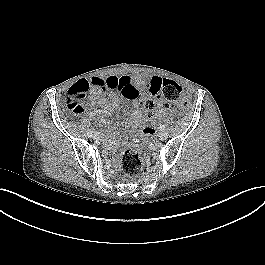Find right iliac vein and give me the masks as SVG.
Masks as SVG:
<instances>
[{"mask_svg":"<svg viewBox=\"0 0 265 265\" xmlns=\"http://www.w3.org/2000/svg\"><path fill=\"white\" fill-rule=\"evenodd\" d=\"M93 138H94L95 140H99V139H100V135H99L98 133H96V134H94Z\"/></svg>","mask_w":265,"mask_h":265,"instance_id":"right-iliac-vein-1","label":"right iliac vein"}]
</instances>
